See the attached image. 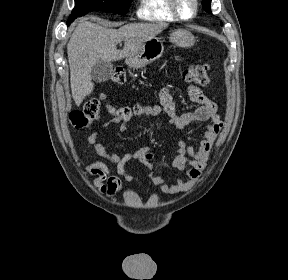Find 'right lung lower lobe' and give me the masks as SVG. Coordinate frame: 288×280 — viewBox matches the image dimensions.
<instances>
[{
    "mask_svg": "<svg viewBox=\"0 0 288 280\" xmlns=\"http://www.w3.org/2000/svg\"><path fill=\"white\" fill-rule=\"evenodd\" d=\"M71 22H72V21H68V22H67V25H70Z\"/></svg>",
    "mask_w": 288,
    "mask_h": 280,
    "instance_id": "98d812e1",
    "label": "right lung lower lobe"
}]
</instances>
